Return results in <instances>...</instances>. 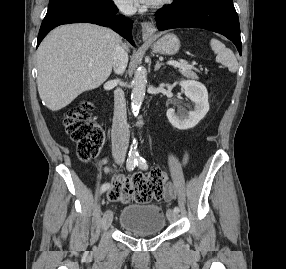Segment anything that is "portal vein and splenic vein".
Here are the masks:
<instances>
[{"label":"portal vein and splenic vein","mask_w":286,"mask_h":269,"mask_svg":"<svg viewBox=\"0 0 286 269\" xmlns=\"http://www.w3.org/2000/svg\"><path fill=\"white\" fill-rule=\"evenodd\" d=\"M167 64L173 65V66L178 67V68L188 69V70L193 69V66H192V65H188V64H186V63L178 62V61H173V60L168 61Z\"/></svg>","instance_id":"obj_1"}]
</instances>
